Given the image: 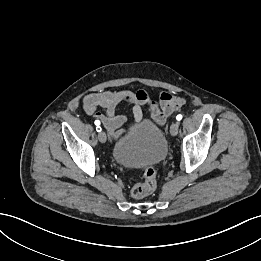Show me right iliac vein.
Instances as JSON below:
<instances>
[{
    "label": "right iliac vein",
    "mask_w": 261,
    "mask_h": 261,
    "mask_svg": "<svg viewBox=\"0 0 261 261\" xmlns=\"http://www.w3.org/2000/svg\"><path fill=\"white\" fill-rule=\"evenodd\" d=\"M98 139L101 143H105L107 139L105 132L103 131L99 132Z\"/></svg>",
    "instance_id": "obj_1"
}]
</instances>
